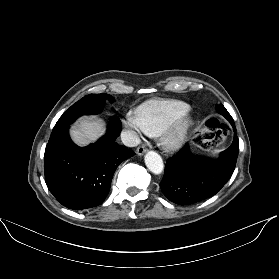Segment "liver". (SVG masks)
<instances>
[{
  "instance_id": "obj_1",
  "label": "liver",
  "mask_w": 279,
  "mask_h": 279,
  "mask_svg": "<svg viewBox=\"0 0 279 279\" xmlns=\"http://www.w3.org/2000/svg\"><path fill=\"white\" fill-rule=\"evenodd\" d=\"M105 133V127L97 120L83 119L78 126L71 129V137L80 146L97 141Z\"/></svg>"
}]
</instances>
